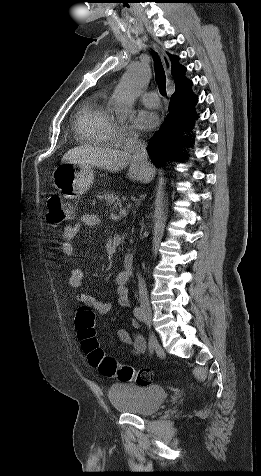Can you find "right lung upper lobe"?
<instances>
[{"mask_svg":"<svg viewBox=\"0 0 261 476\" xmlns=\"http://www.w3.org/2000/svg\"><path fill=\"white\" fill-rule=\"evenodd\" d=\"M169 58H170L171 64H172L171 74L174 77L175 88H176L186 80L185 77H184L185 68L181 67L178 64V58L177 57H173L172 55H169Z\"/></svg>","mask_w":261,"mask_h":476,"instance_id":"right-lung-upper-lobe-1","label":"right lung upper lobe"}]
</instances>
